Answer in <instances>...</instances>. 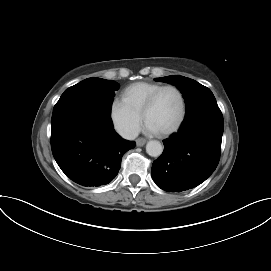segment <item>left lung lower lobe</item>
Returning a JSON list of instances; mask_svg holds the SVG:
<instances>
[{
	"label": "left lung lower lobe",
	"instance_id": "left-lung-lower-lobe-1",
	"mask_svg": "<svg viewBox=\"0 0 271 271\" xmlns=\"http://www.w3.org/2000/svg\"><path fill=\"white\" fill-rule=\"evenodd\" d=\"M223 129L219 107L185 117L178 133L163 141L164 152L153 162L155 183L167 192H181L204 182L218 165Z\"/></svg>",
	"mask_w": 271,
	"mask_h": 271
}]
</instances>
